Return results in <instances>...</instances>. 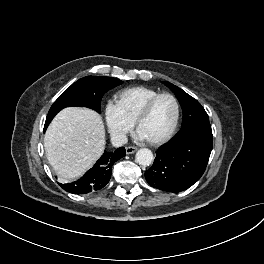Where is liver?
<instances>
[{
    "mask_svg": "<svg viewBox=\"0 0 264 264\" xmlns=\"http://www.w3.org/2000/svg\"><path fill=\"white\" fill-rule=\"evenodd\" d=\"M105 143L101 116L77 107L60 111L44 138L47 159L62 182L81 177L102 155Z\"/></svg>",
    "mask_w": 264,
    "mask_h": 264,
    "instance_id": "6515ba94",
    "label": "liver"
}]
</instances>
